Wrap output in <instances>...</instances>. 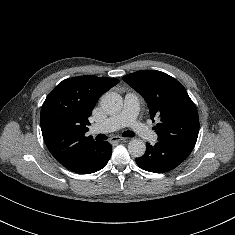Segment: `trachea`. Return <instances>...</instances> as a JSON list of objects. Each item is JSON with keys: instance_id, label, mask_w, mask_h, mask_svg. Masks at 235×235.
<instances>
[{"instance_id": "trachea-1", "label": "trachea", "mask_w": 235, "mask_h": 235, "mask_svg": "<svg viewBox=\"0 0 235 235\" xmlns=\"http://www.w3.org/2000/svg\"><path fill=\"white\" fill-rule=\"evenodd\" d=\"M123 136L124 137H134L135 133L133 131L128 130L123 133ZM106 139H108V137L104 134H98L96 137V140H106Z\"/></svg>"}]
</instances>
